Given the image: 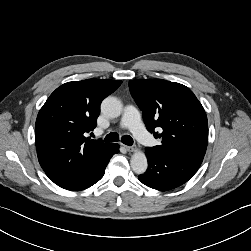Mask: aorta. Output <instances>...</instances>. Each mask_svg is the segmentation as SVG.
Returning <instances> with one entry per match:
<instances>
[{"label": "aorta", "mask_w": 251, "mask_h": 251, "mask_svg": "<svg viewBox=\"0 0 251 251\" xmlns=\"http://www.w3.org/2000/svg\"><path fill=\"white\" fill-rule=\"evenodd\" d=\"M101 112L109 118H116L120 116L122 112V103L116 97L109 96L102 101ZM130 164L132 170L136 174H143L146 172L148 163L144 152H135L131 157Z\"/></svg>", "instance_id": "762f6f07"}]
</instances>
